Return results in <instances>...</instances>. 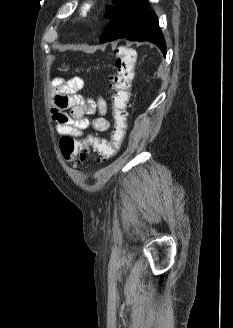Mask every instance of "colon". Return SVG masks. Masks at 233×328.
<instances>
[{
    "mask_svg": "<svg viewBox=\"0 0 233 328\" xmlns=\"http://www.w3.org/2000/svg\"><path fill=\"white\" fill-rule=\"evenodd\" d=\"M115 55L116 72L111 76L113 128L110 139L104 140L97 137L78 139L70 135L62 136L59 142L60 151L64 160L72 167H78L86 161L89 148L95 152L100 161L112 158L125 138L134 79L135 54L130 49H119L116 50Z\"/></svg>",
    "mask_w": 233,
    "mask_h": 328,
    "instance_id": "1",
    "label": "colon"
}]
</instances>
